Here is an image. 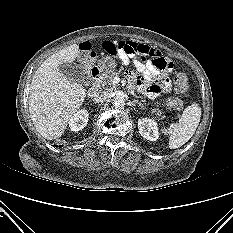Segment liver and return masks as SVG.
<instances>
[{
    "label": "liver",
    "mask_w": 233,
    "mask_h": 233,
    "mask_svg": "<svg viewBox=\"0 0 233 233\" xmlns=\"http://www.w3.org/2000/svg\"><path fill=\"white\" fill-rule=\"evenodd\" d=\"M79 51V46L73 44L56 52L41 64L32 79L29 112L35 128L46 139L62 136L86 97V89L59 70L61 64L73 62Z\"/></svg>",
    "instance_id": "6515ba94"
}]
</instances>
